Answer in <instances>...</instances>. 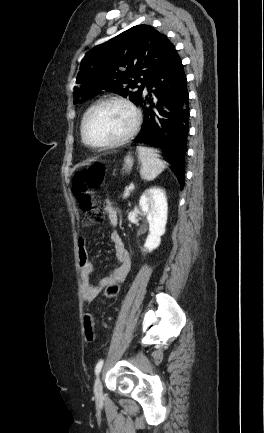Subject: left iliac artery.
I'll return each mask as SVG.
<instances>
[{
	"label": "left iliac artery",
	"instance_id": "44dca946",
	"mask_svg": "<svg viewBox=\"0 0 264 433\" xmlns=\"http://www.w3.org/2000/svg\"><path fill=\"white\" fill-rule=\"evenodd\" d=\"M104 361L100 360L95 367V374L98 375L101 371Z\"/></svg>",
	"mask_w": 264,
	"mask_h": 433
}]
</instances>
